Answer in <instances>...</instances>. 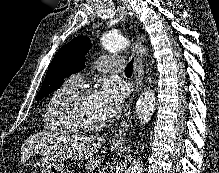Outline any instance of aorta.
<instances>
[{"instance_id":"762f6f07","label":"aorta","mask_w":219,"mask_h":173,"mask_svg":"<svg viewBox=\"0 0 219 173\" xmlns=\"http://www.w3.org/2000/svg\"><path fill=\"white\" fill-rule=\"evenodd\" d=\"M101 45L107 51L116 52L129 48L130 42L122 35L106 34L101 38ZM138 50L141 53L145 52V49L141 47H138ZM154 109L155 93L152 90H146L139 96L136 103V116L142 125L147 124L151 120ZM142 171L143 163L140 160H135L125 173H142Z\"/></svg>"}]
</instances>
